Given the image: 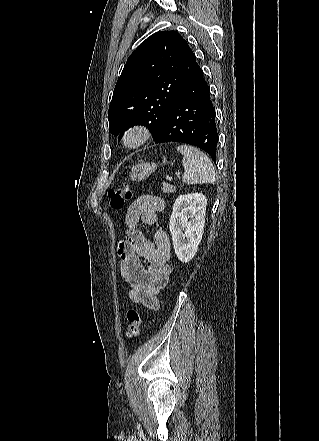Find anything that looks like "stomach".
Segmentation results:
<instances>
[{"label": "stomach", "mask_w": 319, "mask_h": 441, "mask_svg": "<svg viewBox=\"0 0 319 441\" xmlns=\"http://www.w3.org/2000/svg\"><path fill=\"white\" fill-rule=\"evenodd\" d=\"M157 168L155 163H139L133 165L129 173L133 181H141L151 175Z\"/></svg>", "instance_id": "stomach-1"}]
</instances>
